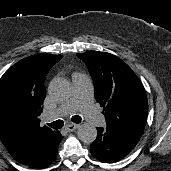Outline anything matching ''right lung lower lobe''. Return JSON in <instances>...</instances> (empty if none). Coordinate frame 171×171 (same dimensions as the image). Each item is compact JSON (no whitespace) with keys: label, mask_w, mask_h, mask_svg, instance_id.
Here are the masks:
<instances>
[{"label":"right lung lower lobe","mask_w":171,"mask_h":171,"mask_svg":"<svg viewBox=\"0 0 171 171\" xmlns=\"http://www.w3.org/2000/svg\"><path fill=\"white\" fill-rule=\"evenodd\" d=\"M62 136L56 132L54 137L47 144L45 150L34 160L26 164L30 168H45L48 167L57 157L58 144Z\"/></svg>","instance_id":"98d812e1"}]
</instances>
